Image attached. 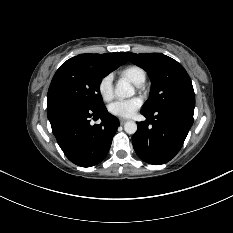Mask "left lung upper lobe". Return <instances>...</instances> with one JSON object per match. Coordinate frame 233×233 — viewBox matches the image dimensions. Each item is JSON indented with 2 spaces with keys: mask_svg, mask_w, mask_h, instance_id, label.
Instances as JSON below:
<instances>
[{
  "mask_svg": "<svg viewBox=\"0 0 233 233\" xmlns=\"http://www.w3.org/2000/svg\"><path fill=\"white\" fill-rule=\"evenodd\" d=\"M135 65L145 69L151 79V97L143 110L182 109L194 113L195 95L191 79L183 66L161 54L124 53Z\"/></svg>",
  "mask_w": 233,
  "mask_h": 233,
  "instance_id": "1",
  "label": "left lung upper lobe"
}]
</instances>
